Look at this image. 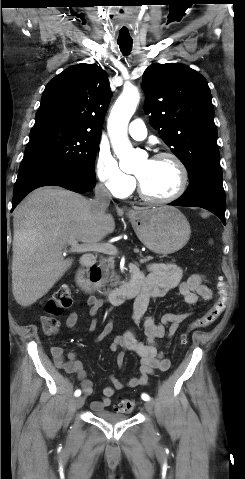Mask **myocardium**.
Listing matches in <instances>:
<instances>
[{"label": "myocardium", "instance_id": "1", "mask_svg": "<svg viewBox=\"0 0 245 479\" xmlns=\"http://www.w3.org/2000/svg\"><path fill=\"white\" fill-rule=\"evenodd\" d=\"M162 158H168L172 160L178 169L179 181H178L177 188L172 194L165 197H153L146 193L139 177L136 176L137 193L143 200L153 204H167V203L175 201L185 192L187 184H188V171L184 162L181 160V158L173 152L161 151L154 154L151 159H162Z\"/></svg>", "mask_w": 245, "mask_h": 479}]
</instances>
